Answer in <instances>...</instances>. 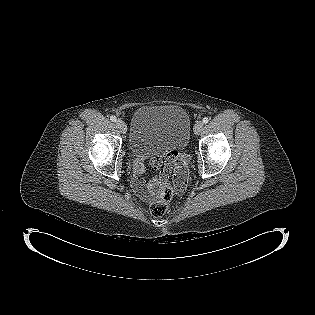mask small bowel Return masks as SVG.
Instances as JSON below:
<instances>
[{"label":"small bowel","mask_w":315,"mask_h":315,"mask_svg":"<svg viewBox=\"0 0 315 315\" xmlns=\"http://www.w3.org/2000/svg\"><path fill=\"white\" fill-rule=\"evenodd\" d=\"M168 163L165 167H162L161 159L155 156L151 159L152 166L158 171V175L150 180L148 183L142 178V174L145 172V166L141 160L137 159L133 163L134 178L132 185L136 194L144 200H150L153 196L157 195L161 187L168 181L170 167L175 166L177 173L183 174L181 170L182 161L177 156L176 151L171 150L168 153Z\"/></svg>","instance_id":"1"}]
</instances>
